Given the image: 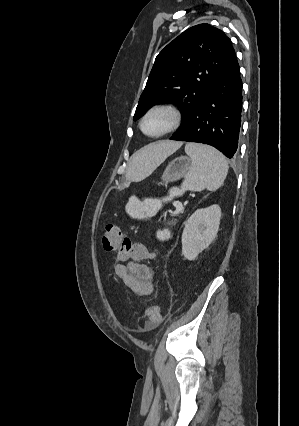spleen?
Masks as SVG:
<instances>
[{"label":"spleen","mask_w":299,"mask_h":426,"mask_svg":"<svg viewBox=\"0 0 299 426\" xmlns=\"http://www.w3.org/2000/svg\"><path fill=\"white\" fill-rule=\"evenodd\" d=\"M185 152L192 161V168L185 176L181 187L171 188L169 195L162 199L146 198L141 202L137 197L132 196L125 206L127 214L137 219L149 218L157 213L163 202L171 201L186 190L215 191L223 184L229 166L222 153L213 147L197 143H188L185 146ZM170 237L171 234L168 230L157 231L159 240H167Z\"/></svg>","instance_id":"spleen-1"}]
</instances>
